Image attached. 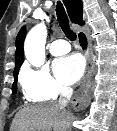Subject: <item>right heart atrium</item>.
I'll return each mask as SVG.
<instances>
[{
	"label": "right heart atrium",
	"instance_id": "obj_1",
	"mask_svg": "<svg viewBox=\"0 0 117 131\" xmlns=\"http://www.w3.org/2000/svg\"><path fill=\"white\" fill-rule=\"evenodd\" d=\"M20 83L31 101L53 100L69 91V87L56 80L46 67L25 65L20 73Z\"/></svg>",
	"mask_w": 117,
	"mask_h": 131
}]
</instances>
